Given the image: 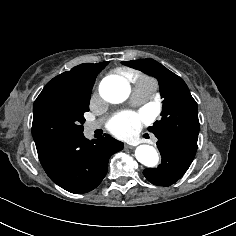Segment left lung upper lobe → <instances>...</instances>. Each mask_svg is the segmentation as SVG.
I'll return each mask as SVG.
<instances>
[{"mask_svg": "<svg viewBox=\"0 0 236 236\" xmlns=\"http://www.w3.org/2000/svg\"><path fill=\"white\" fill-rule=\"evenodd\" d=\"M122 64L154 76L159 82L161 97L164 98L162 118L148 130L157 138L174 135L197 141V103L184 80L154 59L123 61Z\"/></svg>", "mask_w": 236, "mask_h": 236, "instance_id": "left-lung-upper-lobe-1", "label": "left lung upper lobe"}]
</instances>
